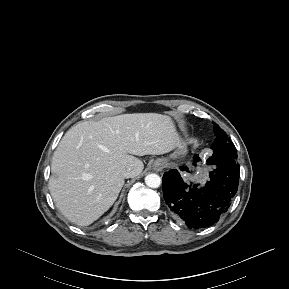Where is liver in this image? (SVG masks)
Segmentation results:
<instances>
[{
    "label": "liver",
    "instance_id": "1",
    "mask_svg": "<svg viewBox=\"0 0 289 289\" xmlns=\"http://www.w3.org/2000/svg\"><path fill=\"white\" fill-rule=\"evenodd\" d=\"M178 134L168 116L134 113L84 121L71 127L56 148L49 179L50 194L71 222L87 226L116 201L125 181L121 172L138 176L137 157L172 150Z\"/></svg>",
    "mask_w": 289,
    "mask_h": 289
}]
</instances>
